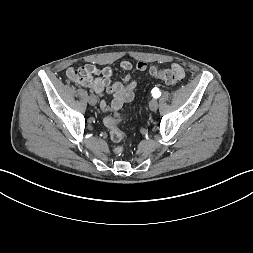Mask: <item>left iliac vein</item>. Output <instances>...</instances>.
<instances>
[{"label": "left iliac vein", "instance_id": "obj_1", "mask_svg": "<svg viewBox=\"0 0 253 253\" xmlns=\"http://www.w3.org/2000/svg\"><path fill=\"white\" fill-rule=\"evenodd\" d=\"M149 108L151 111H156L157 108H158V101L157 99H152L150 102H149Z\"/></svg>", "mask_w": 253, "mask_h": 253}]
</instances>
